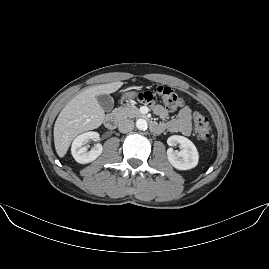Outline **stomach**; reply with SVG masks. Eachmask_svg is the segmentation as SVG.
Listing matches in <instances>:
<instances>
[{"mask_svg":"<svg viewBox=\"0 0 269 269\" xmlns=\"http://www.w3.org/2000/svg\"><path fill=\"white\" fill-rule=\"evenodd\" d=\"M136 94L134 92H127L122 96V100L134 98Z\"/></svg>","mask_w":269,"mask_h":269,"instance_id":"1","label":"stomach"}]
</instances>
